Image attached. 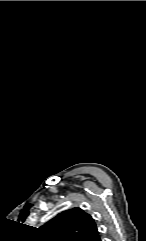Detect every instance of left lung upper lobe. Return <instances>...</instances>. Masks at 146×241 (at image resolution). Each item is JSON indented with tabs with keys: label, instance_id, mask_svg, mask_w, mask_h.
<instances>
[{
	"label": "left lung upper lobe",
	"instance_id": "obj_1",
	"mask_svg": "<svg viewBox=\"0 0 146 241\" xmlns=\"http://www.w3.org/2000/svg\"><path fill=\"white\" fill-rule=\"evenodd\" d=\"M39 230L45 241H91L98 234L94 219L80 208L63 211Z\"/></svg>",
	"mask_w": 146,
	"mask_h": 241
}]
</instances>
